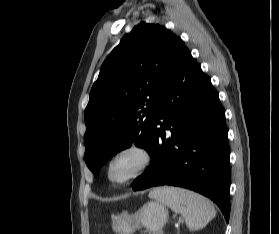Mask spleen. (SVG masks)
I'll list each match as a JSON object with an SVG mask.
<instances>
[{"mask_svg": "<svg viewBox=\"0 0 279 234\" xmlns=\"http://www.w3.org/2000/svg\"><path fill=\"white\" fill-rule=\"evenodd\" d=\"M149 196L180 213L192 231L204 228L216 216V210L207 198L186 189L158 187Z\"/></svg>", "mask_w": 279, "mask_h": 234, "instance_id": "spleen-1", "label": "spleen"}]
</instances>
